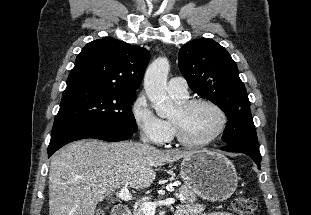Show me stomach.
<instances>
[{
  "mask_svg": "<svg viewBox=\"0 0 311 215\" xmlns=\"http://www.w3.org/2000/svg\"><path fill=\"white\" fill-rule=\"evenodd\" d=\"M181 178L186 187L211 202L227 200L235 192L238 176L232 162L214 151L193 152L183 158Z\"/></svg>",
  "mask_w": 311,
  "mask_h": 215,
  "instance_id": "stomach-1",
  "label": "stomach"
}]
</instances>
